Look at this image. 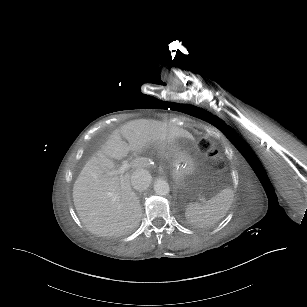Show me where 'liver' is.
<instances>
[{
    "instance_id": "6515ba94",
    "label": "liver",
    "mask_w": 307,
    "mask_h": 307,
    "mask_svg": "<svg viewBox=\"0 0 307 307\" xmlns=\"http://www.w3.org/2000/svg\"><path fill=\"white\" fill-rule=\"evenodd\" d=\"M180 139L194 141L187 130L157 120H133L114 130L103 152L87 161L74 183V206L85 227L99 236H120L137 228L142 209L131 187L132 173L108 176L107 172L114 167L113 159L121 160L133 152L136 158L132 168L136 171L149 168L148 159L139 155L157 147L170 159Z\"/></svg>"
}]
</instances>
